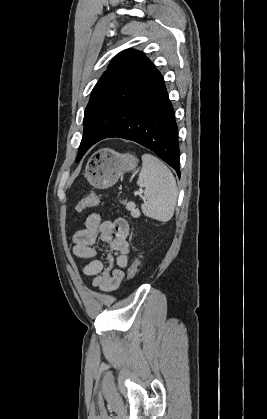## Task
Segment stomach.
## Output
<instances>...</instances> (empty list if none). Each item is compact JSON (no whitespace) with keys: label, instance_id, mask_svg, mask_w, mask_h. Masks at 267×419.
I'll list each match as a JSON object with an SVG mask.
<instances>
[{"label":"stomach","instance_id":"0dacf381","mask_svg":"<svg viewBox=\"0 0 267 419\" xmlns=\"http://www.w3.org/2000/svg\"><path fill=\"white\" fill-rule=\"evenodd\" d=\"M137 164L138 159L133 154L103 148L89 158L84 175L92 186L105 189L113 186L124 172L134 170Z\"/></svg>","mask_w":267,"mask_h":419}]
</instances>
